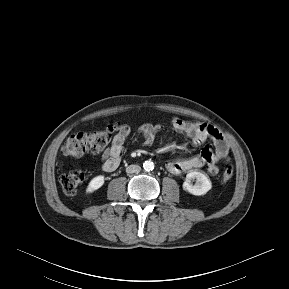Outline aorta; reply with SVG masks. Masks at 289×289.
Here are the masks:
<instances>
[{
  "label": "aorta",
  "mask_w": 289,
  "mask_h": 289,
  "mask_svg": "<svg viewBox=\"0 0 289 289\" xmlns=\"http://www.w3.org/2000/svg\"><path fill=\"white\" fill-rule=\"evenodd\" d=\"M145 171H152L154 169V163L151 160H147L143 163Z\"/></svg>",
  "instance_id": "1"
}]
</instances>
